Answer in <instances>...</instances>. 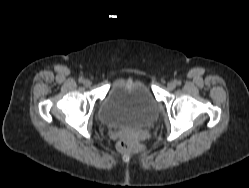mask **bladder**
Masks as SVG:
<instances>
[{
  "label": "bladder",
  "mask_w": 249,
  "mask_h": 188,
  "mask_svg": "<svg viewBox=\"0 0 249 188\" xmlns=\"http://www.w3.org/2000/svg\"><path fill=\"white\" fill-rule=\"evenodd\" d=\"M98 115L109 126L140 127L157 119L159 106L144 81L123 80L111 87L100 104Z\"/></svg>",
  "instance_id": "obj_1"
}]
</instances>
